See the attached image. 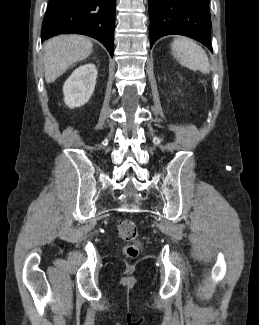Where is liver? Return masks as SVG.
<instances>
[{
    "label": "liver",
    "instance_id": "liver-1",
    "mask_svg": "<svg viewBox=\"0 0 259 325\" xmlns=\"http://www.w3.org/2000/svg\"><path fill=\"white\" fill-rule=\"evenodd\" d=\"M93 51L92 42L80 35H60L44 45V73L47 83L54 82L72 64L86 59Z\"/></svg>",
    "mask_w": 259,
    "mask_h": 325
}]
</instances>
